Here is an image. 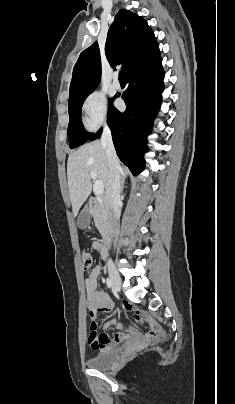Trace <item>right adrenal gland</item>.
I'll use <instances>...</instances> for the list:
<instances>
[{
  "instance_id": "1",
  "label": "right adrenal gland",
  "mask_w": 235,
  "mask_h": 404,
  "mask_svg": "<svg viewBox=\"0 0 235 404\" xmlns=\"http://www.w3.org/2000/svg\"><path fill=\"white\" fill-rule=\"evenodd\" d=\"M126 178H127V175L122 176V179H121V192L123 191Z\"/></svg>"
}]
</instances>
